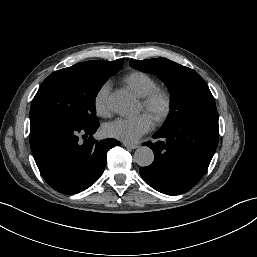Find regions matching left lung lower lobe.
<instances>
[{
  "label": "left lung lower lobe",
  "instance_id": "1",
  "mask_svg": "<svg viewBox=\"0 0 257 257\" xmlns=\"http://www.w3.org/2000/svg\"><path fill=\"white\" fill-rule=\"evenodd\" d=\"M217 110L199 113L161 128L144 145L154 152V162L139 169L144 181L155 190L178 195L190 190L203 177L217 148Z\"/></svg>",
  "mask_w": 257,
  "mask_h": 257
}]
</instances>
